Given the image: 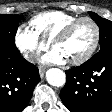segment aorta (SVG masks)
<instances>
[{
  "label": "aorta",
  "mask_w": 112,
  "mask_h": 112,
  "mask_svg": "<svg viewBox=\"0 0 112 112\" xmlns=\"http://www.w3.org/2000/svg\"><path fill=\"white\" fill-rule=\"evenodd\" d=\"M46 80L52 86L62 87L66 82V75L58 68H51L46 72Z\"/></svg>",
  "instance_id": "obj_1"
}]
</instances>
